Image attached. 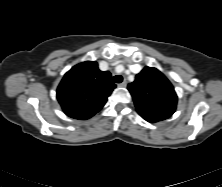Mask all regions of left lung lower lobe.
Here are the masks:
<instances>
[{
	"label": "left lung lower lobe",
	"instance_id": "1",
	"mask_svg": "<svg viewBox=\"0 0 222 187\" xmlns=\"http://www.w3.org/2000/svg\"><path fill=\"white\" fill-rule=\"evenodd\" d=\"M138 113L146 121L151 122V123L158 122V121L165 120V119L169 118V117H167L165 115H159V114L142 113V112H138Z\"/></svg>",
	"mask_w": 222,
	"mask_h": 187
}]
</instances>
